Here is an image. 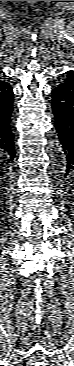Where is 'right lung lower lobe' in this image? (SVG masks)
Here are the masks:
<instances>
[{"label":"right lung lower lobe","mask_w":74,"mask_h":366,"mask_svg":"<svg viewBox=\"0 0 74 366\" xmlns=\"http://www.w3.org/2000/svg\"><path fill=\"white\" fill-rule=\"evenodd\" d=\"M13 111V91L0 72V152H5L11 160L15 157L13 134L10 129Z\"/></svg>","instance_id":"right-lung-lower-lobe-1"}]
</instances>
